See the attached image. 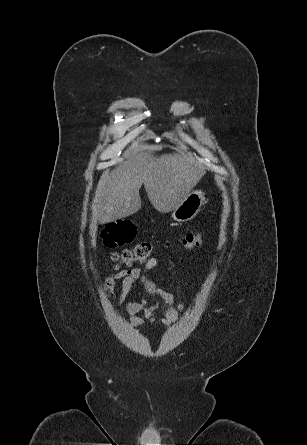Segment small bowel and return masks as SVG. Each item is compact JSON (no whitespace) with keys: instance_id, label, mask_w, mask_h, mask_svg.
Returning <instances> with one entry per match:
<instances>
[{"instance_id":"small-bowel-1","label":"small bowel","mask_w":307,"mask_h":445,"mask_svg":"<svg viewBox=\"0 0 307 445\" xmlns=\"http://www.w3.org/2000/svg\"><path fill=\"white\" fill-rule=\"evenodd\" d=\"M157 265L158 260L152 258L143 268L122 270L109 275L105 279L104 286L111 298H114L112 290L115 282L118 280L121 281V293L117 298L119 303L124 302L134 284H139L147 294L146 298L138 301H130L125 304L129 321L134 326L142 325L146 320L151 319L159 302L163 304L165 313L163 323L167 325L175 322L179 313L184 309V300H181L175 305L173 295L169 291L158 287L147 275V272L157 267ZM140 314H142L143 317H139Z\"/></svg>"}]
</instances>
